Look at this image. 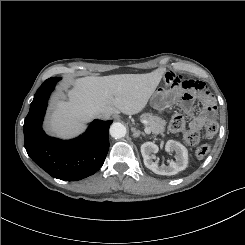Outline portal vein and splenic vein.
Listing matches in <instances>:
<instances>
[{"mask_svg":"<svg viewBox=\"0 0 245 245\" xmlns=\"http://www.w3.org/2000/svg\"><path fill=\"white\" fill-rule=\"evenodd\" d=\"M144 131H145L146 134H150L151 133L150 129L147 126L144 128Z\"/></svg>","mask_w":245,"mask_h":245,"instance_id":"portal-vein-and-splenic-vein-1","label":"portal vein and splenic vein"}]
</instances>
